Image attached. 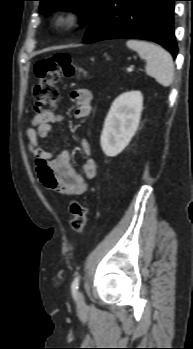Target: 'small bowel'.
Segmentation results:
<instances>
[{"label": "small bowel", "mask_w": 193, "mask_h": 349, "mask_svg": "<svg viewBox=\"0 0 193 349\" xmlns=\"http://www.w3.org/2000/svg\"><path fill=\"white\" fill-rule=\"evenodd\" d=\"M76 105L74 116L77 119L87 118L92 110L93 94L86 88L74 90L70 96ZM60 114H38L26 128L27 146L34 156V165L42 185L50 190L66 194L81 195L87 190V180L97 174V165L90 157V145L86 139L81 141V148L87 159L77 170L71 163L70 154L62 150L58 154L48 150L42 141L48 138L53 131V124L63 121Z\"/></svg>", "instance_id": "c3829d8e"}]
</instances>
